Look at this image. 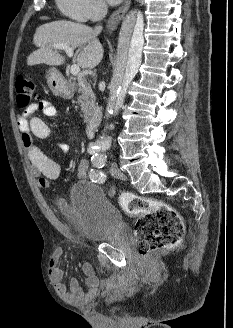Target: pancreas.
<instances>
[{"instance_id": "pancreas-1", "label": "pancreas", "mask_w": 233, "mask_h": 328, "mask_svg": "<svg viewBox=\"0 0 233 328\" xmlns=\"http://www.w3.org/2000/svg\"><path fill=\"white\" fill-rule=\"evenodd\" d=\"M78 86V93L80 94L78 97V102L80 103L81 110L83 112L84 122L88 123L96 109L95 95L90 87V84L87 83L85 79L80 80Z\"/></svg>"}]
</instances>
